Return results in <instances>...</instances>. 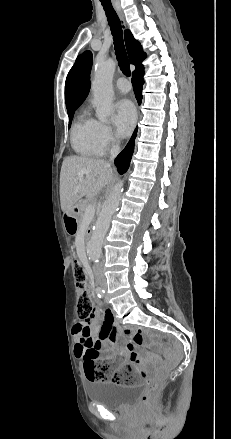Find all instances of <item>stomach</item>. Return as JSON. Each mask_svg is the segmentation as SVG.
Segmentation results:
<instances>
[{
	"instance_id": "obj_1",
	"label": "stomach",
	"mask_w": 231,
	"mask_h": 439,
	"mask_svg": "<svg viewBox=\"0 0 231 439\" xmlns=\"http://www.w3.org/2000/svg\"><path fill=\"white\" fill-rule=\"evenodd\" d=\"M70 209H67L65 213L67 214L66 220H65V228L68 233L73 234L75 232V226L69 221V218L72 217L69 214Z\"/></svg>"
}]
</instances>
